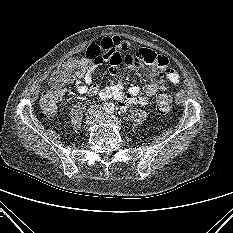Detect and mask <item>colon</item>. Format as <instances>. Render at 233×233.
Masks as SVG:
<instances>
[{"label":"colon","instance_id":"colon-1","mask_svg":"<svg viewBox=\"0 0 233 233\" xmlns=\"http://www.w3.org/2000/svg\"><path fill=\"white\" fill-rule=\"evenodd\" d=\"M92 64L93 59L85 55L61 63L53 71L40 97V106L45 114L52 115L55 113L65 85L76 76H81ZM156 107L161 113L170 111L172 107L171 95L160 92L156 97Z\"/></svg>","mask_w":233,"mask_h":233}]
</instances>
